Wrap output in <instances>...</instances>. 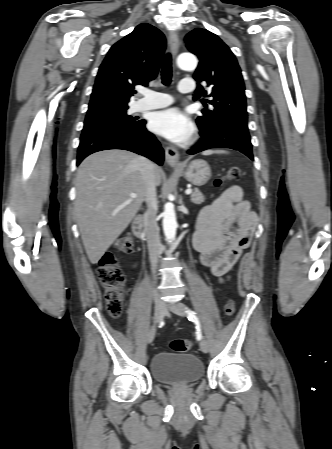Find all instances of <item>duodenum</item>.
<instances>
[{"mask_svg":"<svg viewBox=\"0 0 332 449\" xmlns=\"http://www.w3.org/2000/svg\"><path fill=\"white\" fill-rule=\"evenodd\" d=\"M133 234L141 241L145 239L144 234V217L142 215L137 216L132 223Z\"/></svg>","mask_w":332,"mask_h":449,"instance_id":"duodenum-1","label":"duodenum"}]
</instances>
